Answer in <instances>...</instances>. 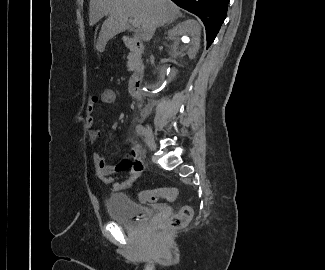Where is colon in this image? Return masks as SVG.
Here are the masks:
<instances>
[{
  "mask_svg": "<svg viewBox=\"0 0 325 270\" xmlns=\"http://www.w3.org/2000/svg\"><path fill=\"white\" fill-rule=\"evenodd\" d=\"M100 99L102 103L112 105L116 102L117 95L113 89L106 88L102 91ZM160 198L168 201L176 200L177 189L173 187H164L153 190H145L139 194L140 201L144 203H154ZM192 215V207L189 205H184L175 215L171 216L164 225L160 226L159 230L183 228L189 223Z\"/></svg>",
  "mask_w": 325,
  "mask_h": 270,
  "instance_id": "colon-1",
  "label": "colon"
}]
</instances>
